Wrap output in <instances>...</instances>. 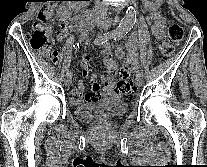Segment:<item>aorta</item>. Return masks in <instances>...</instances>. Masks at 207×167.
Here are the masks:
<instances>
[{
	"label": "aorta",
	"mask_w": 207,
	"mask_h": 167,
	"mask_svg": "<svg viewBox=\"0 0 207 167\" xmlns=\"http://www.w3.org/2000/svg\"><path fill=\"white\" fill-rule=\"evenodd\" d=\"M136 21V14L132 9H129L126 12L125 17L121 20L119 27L116 29V32L119 34H124L129 31Z\"/></svg>",
	"instance_id": "762f6f07"
}]
</instances>
